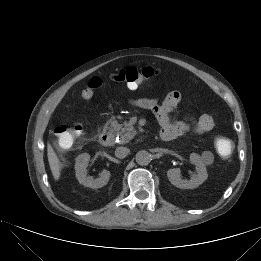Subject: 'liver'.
Instances as JSON below:
<instances>
[{
    "mask_svg": "<svg viewBox=\"0 0 261 261\" xmlns=\"http://www.w3.org/2000/svg\"><path fill=\"white\" fill-rule=\"evenodd\" d=\"M47 156L52 175L54 179L58 181L61 175V164L59 158L49 143L47 145Z\"/></svg>",
    "mask_w": 261,
    "mask_h": 261,
    "instance_id": "1",
    "label": "liver"
}]
</instances>
